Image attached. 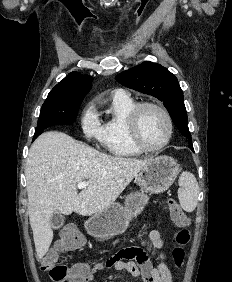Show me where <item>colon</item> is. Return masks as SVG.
Here are the masks:
<instances>
[{
  "mask_svg": "<svg viewBox=\"0 0 232 282\" xmlns=\"http://www.w3.org/2000/svg\"><path fill=\"white\" fill-rule=\"evenodd\" d=\"M170 217L174 225L179 229L176 234L177 246L172 251L173 262L176 267H181L184 258V247L189 243L191 235L188 230L189 219L182 211L179 204L170 199L167 202ZM83 238L72 229H66L62 232L60 238V247L72 251L83 245ZM58 255L56 251L50 252L45 256L42 262V269L48 273L55 282H86L88 267L85 264L77 263L68 267L57 263Z\"/></svg>",
  "mask_w": 232,
  "mask_h": 282,
  "instance_id": "obj_1",
  "label": "colon"
}]
</instances>
